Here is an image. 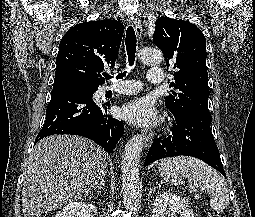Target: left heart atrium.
<instances>
[{
	"instance_id": "1",
	"label": "left heart atrium",
	"mask_w": 255,
	"mask_h": 217,
	"mask_svg": "<svg viewBox=\"0 0 255 217\" xmlns=\"http://www.w3.org/2000/svg\"><path fill=\"white\" fill-rule=\"evenodd\" d=\"M121 116L135 126H148L157 120L158 113L149 98L141 97L126 103Z\"/></svg>"
}]
</instances>
